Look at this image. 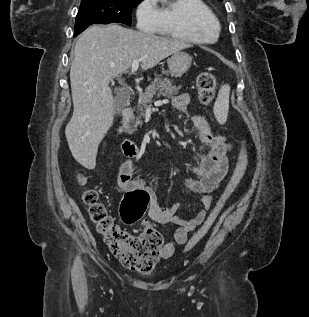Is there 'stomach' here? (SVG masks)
I'll list each match as a JSON object with an SVG mask.
<instances>
[{"label": "stomach", "mask_w": 309, "mask_h": 317, "mask_svg": "<svg viewBox=\"0 0 309 317\" xmlns=\"http://www.w3.org/2000/svg\"><path fill=\"white\" fill-rule=\"evenodd\" d=\"M192 57L186 52H176L168 59V73L180 77L191 67Z\"/></svg>", "instance_id": "1"}]
</instances>
